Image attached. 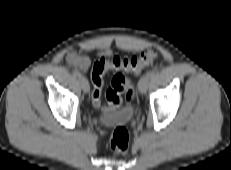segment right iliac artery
I'll list each match as a JSON object with an SVG mask.
<instances>
[{
	"label": "right iliac artery",
	"mask_w": 231,
	"mask_h": 170,
	"mask_svg": "<svg viewBox=\"0 0 231 170\" xmlns=\"http://www.w3.org/2000/svg\"><path fill=\"white\" fill-rule=\"evenodd\" d=\"M73 74H74L75 77H79V78L81 77L80 72L77 71V70H75V71L73 72Z\"/></svg>",
	"instance_id": "82829eb1"
}]
</instances>
